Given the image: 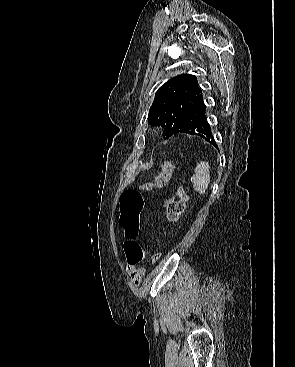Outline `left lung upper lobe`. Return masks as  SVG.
<instances>
[{
  "label": "left lung upper lobe",
  "instance_id": "obj_1",
  "mask_svg": "<svg viewBox=\"0 0 295 367\" xmlns=\"http://www.w3.org/2000/svg\"><path fill=\"white\" fill-rule=\"evenodd\" d=\"M201 92L196 76H175L157 90L148 121L164 128V138L172 136L174 129L200 98Z\"/></svg>",
  "mask_w": 295,
  "mask_h": 367
}]
</instances>
